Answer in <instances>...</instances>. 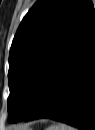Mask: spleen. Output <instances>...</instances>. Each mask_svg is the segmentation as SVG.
Here are the masks:
<instances>
[{
  "instance_id": "1",
  "label": "spleen",
  "mask_w": 95,
  "mask_h": 130,
  "mask_svg": "<svg viewBox=\"0 0 95 130\" xmlns=\"http://www.w3.org/2000/svg\"><path fill=\"white\" fill-rule=\"evenodd\" d=\"M46 130H75V129L66 124L58 123V124L49 126Z\"/></svg>"
}]
</instances>
